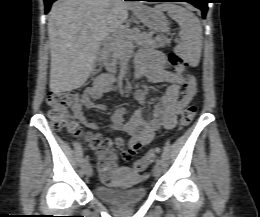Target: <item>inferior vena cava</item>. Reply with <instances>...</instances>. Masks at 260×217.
<instances>
[{
    "instance_id": "1",
    "label": "inferior vena cava",
    "mask_w": 260,
    "mask_h": 217,
    "mask_svg": "<svg viewBox=\"0 0 260 217\" xmlns=\"http://www.w3.org/2000/svg\"><path fill=\"white\" fill-rule=\"evenodd\" d=\"M121 0H110L112 6H117Z\"/></svg>"
}]
</instances>
